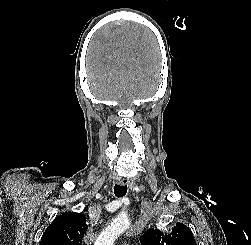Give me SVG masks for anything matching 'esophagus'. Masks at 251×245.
Instances as JSON below:
<instances>
[{
  "mask_svg": "<svg viewBox=\"0 0 251 245\" xmlns=\"http://www.w3.org/2000/svg\"><path fill=\"white\" fill-rule=\"evenodd\" d=\"M119 184L120 185H127L129 187H132L133 186V181L128 180V179H122V180H119Z\"/></svg>",
  "mask_w": 251,
  "mask_h": 245,
  "instance_id": "1",
  "label": "esophagus"
}]
</instances>
